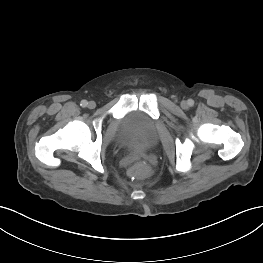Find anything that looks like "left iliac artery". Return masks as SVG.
I'll return each instance as SVG.
<instances>
[{"instance_id": "obj_1", "label": "left iliac artery", "mask_w": 263, "mask_h": 263, "mask_svg": "<svg viewBox=\"0 0 263 263\" xmlns=\"http://www.w3.org/2000/svg\"><path fill=\"white\" fill-rule=\"evenodd\" d=\"M193 104H194V101H193L192 99H189V100H188V105H189V106H193Z\"/></svg>"}]
</instances>
